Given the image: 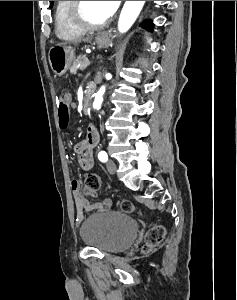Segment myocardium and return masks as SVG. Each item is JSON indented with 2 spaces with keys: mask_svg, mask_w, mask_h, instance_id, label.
<instances>
[{
  "mask_svg": "<svg viewBox=\"0 0 237 300\" xmlns=\"http://www.w3.org/2000/svg\"><path fill=\"white\" fill-rule=\"evenodd\" d=\"M83 6L84 1H72L70 7V17L72 22L84 31L102 29L108 26L113 21V17L111 16L101 23H92L85 17Z\"/></svg>",
  "mask_w": 237,
  "mask_h": 300,
  "instance_id": "1",
  "label": "myocardium"
}]
</instances>
